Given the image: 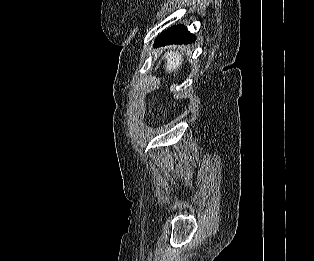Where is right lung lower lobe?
Here are the masks:
<instances>
[{"label":"right lung lower lobe","instance_id":"right-lung-lower-lobe-1","mask_svg":"<svg viewBox=\"0 0 314 261\" xmlns=\"http://www.w3.org/2000/svg\"><path fill=\"white\" fill-rule=\"evenodd\" d=\"M196 38L188 32L183 25L173 26L156 39L155 46H162L167 44H188L192 43Z\"/></svg>","mask_w":314,"mask_h":261}]
</instances>
